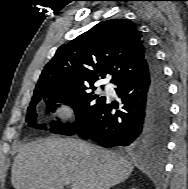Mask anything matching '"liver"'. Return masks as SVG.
Returning <instances> with one entry per match:
<instances>
[{"label":"liver","instance_id":"6515ba94","mask_svg":"<svg viewBox=\"0 0 188 189\" xmlns=\"http://www.w3.org/2000/svg\"><path fill=\"white\" fill-rule=\"evenodd\" d=\"M133 166L125 158L72 138L39 139L21 147L14 159L15 189H109L126 180Z\"/></svg>","mask_w":188,"mask_h":189}]
</instances>
